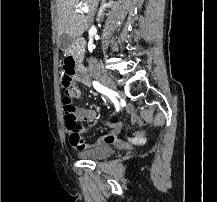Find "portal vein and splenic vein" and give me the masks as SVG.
Listing matches in <instances>:
<instances>
[{
  "label": "portal vein and splenic vein",
  "instance_id": "18ae733b",
  "mask_svg": "<svg viewBox=\"0 0 217 202\" xmlns=\"http://www.w3.org/2000/svg\"><path fill=\"white\" fill-rule=\"evenodd\" d=\"M81 10H87L86 6H85V8H81Z\"/></svg>",
  "mask_w": 217,
  "mask_h": 202
}]
</instances>
